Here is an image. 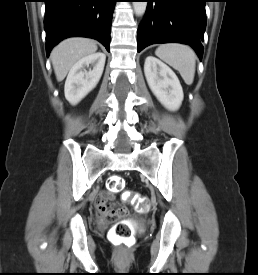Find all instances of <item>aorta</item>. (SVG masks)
I'll return each instance as SVG.
<instances>
[{"instance_id": "762f6f07", "label": "aorta", "mask_w": 258, "mask_h": 275, "mask_svg": "<svg viewBox=\"0 0 258 275\" xmlns=\"http://www.w3.org/2000/svg\"><path fill=\"white\" fill-rule=\"evenodd\" d=\"M146 7V2H133V8L137 16L143 15L146 11Z\"/></svg>"}]
</instances>
